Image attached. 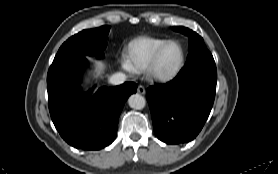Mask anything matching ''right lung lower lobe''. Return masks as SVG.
Masks as SVG:
<instances>
[{"label": "right lung lower lobe", "instance_id": "obj_1", "mask_svg": "<svg viewBox=\"0 0 278 174\" xmlns=\"http://www.w3.org/2000/svg\"><path fill=\"white\" fill-rule=\"evenodd\" d=\"M86 64L83 56L50 66L47 76L51 119L61 137L78 149L98 150L111 144L118 119L127 98L137 85L126 82L116 87H101L94 95L83 94L78 80Z\"/></svg>", "mask_w": 278, "mask_h": 174}]
</instances>
